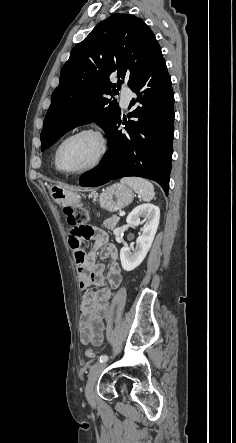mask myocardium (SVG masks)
I'll return each instance as SVG.
<instances>
[{"mask_svg":"<svg viewBox=\"0 0 236 443\" xmlns=\"http://www.w3.org/2000/svg\"><path fill=\"white\" fill-rule=\"evenodd\" d=\"M84 134H90V135L94 136L97 139V141H98L99 152H98V155H97L95 161L91 165H89V166H87V167H85L83 169H80V170L68 171V170L63 169L61 167V164H60V153H61V150H62L63 146L69 140H71V139H73V138H75L77 136L84 135ZM107 150H108V141H107L106 136L104 135V133L100 129H98L96 127H92V126L82 127V128L77 129L76 131L70 133L68 136H66L60 142V144L57 147L56 153H55V165H56V168L60 172H62L64 174H67V175H82V174H86V173H89L91 171H94L95 169H97L102 164V162H103V160H104V158H105V156L107 154Z\"/></svg>","mask_w":236,"mask_h":443,"instance_id":"1","label":"myocardium"}]
</instances>
